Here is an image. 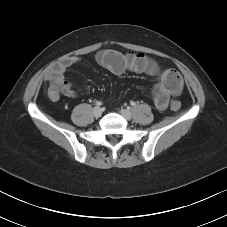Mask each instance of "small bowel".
<instances>
[{"label": "small bowel", "instance_id": "c3829d8e", "mask_svg": "<svg viewBox=\"0 0 227 227\" xmlns=\"http://www.w3.org/2000/svg\"><path fill=\"white\" fill-rule=\"evenodd\" d=\"M97 63L109 72L120 75L125 71H133L136 73H145L150 76L160 74L158 63L143 53H122L117 50L105 49L96 54ZM78 59L71 57L63 63L53 67L46 74V80L49 82V96L53 100H57L60 95L66 97H76L77 91L73 84L66 80L65 72L72 65L76 64ZM181 90V82L177 84H169L163 79L153 88V101L156 108L163 111L167 108L169 99L172 95H177Z\"/></svg>", "mask_w": 227, "mask_h": 227}]
</instances>
